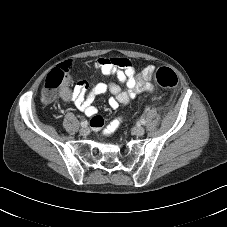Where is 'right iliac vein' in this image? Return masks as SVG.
Returning a JSON list of instances; mask_svg holds the SVG:
<instances>
[{
    "label": "right iliac vein",
    "mask_w": 227,
    "mask_h": 227,
    "mask_svg": "<svg viewBox=\"0 0 227 227\" xmlns=\"http://www.w3.org/2000/svg\"><path fill=\"white\" fill-rule=\"evenodd\" d=\"M80 134L83 135V136H86L89 134V128L86 126V127H82L80 129Z\"/></svg>",
    "instance_id": "1"
}]
</instances>
